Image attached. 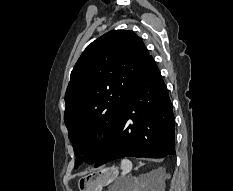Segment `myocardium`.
Returning a JSON list of instances; mask_svg holds the SVG:
<instances>
[{"mask_svg":"<svg viewBox=\"0 0 233 191\" xmlns=\"http://www.w3.org/2000/svg\"><path fill=\"white\" fill-rule=\"evenodd\" d=\"M108 137H109V131L106 128H104V127L98 128L91 135L92 147L96 148V147L102 145L104 142H106Z\"/></svg>","mask_w":233,"mask_h":191,"instance_id":"obj_1","label":"myocardium"}]
</instances>
